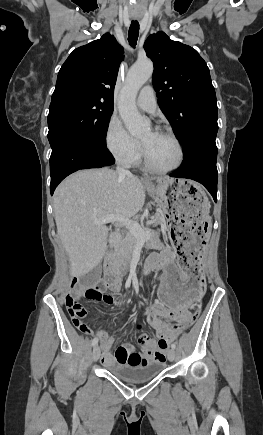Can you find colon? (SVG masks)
<instances>
[{"label": "colon", "instance_id": "obj_1", "mask_svg": "<svg viewBox=\"0 0 263 435\" xmlns=\"http://www.w3.org/2000/svg\"><path fill=\"white\" fill-rule=\"evenodd\" d=\"M71 289L73 291H80L81 294H83L89 300L102 301L104 303H109L113 300L112 296L104 294L102 292V288L99 285L86 286L79 283L78 281H74L71 285ZM65 303H66L68 313L75 327L82 332H89L87 325L82 321V318L86 314V310L81 305L79 300L71 293L66 296ZM200 311H201L200 305H195L194 312L187 322L182 323L181 321L179 322L173 321L170 327L172 329H179V328L186 329L190 327L199 317ZM156 341H162V339H157Z\"/></svg>", "mask_w": 263, "mask_h": 435}]
</instances>
